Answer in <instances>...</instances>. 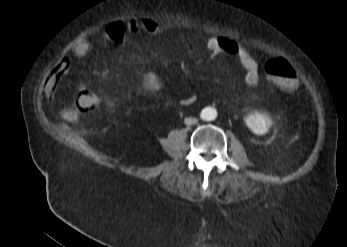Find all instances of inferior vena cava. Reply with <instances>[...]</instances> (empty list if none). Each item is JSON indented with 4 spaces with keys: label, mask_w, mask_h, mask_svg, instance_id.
Segmentation results:
<instances>
[{
    "label": "inferior vena cava",
    "mask_w": 347,
    "mask_h": 247,
    "mask_svg": "<svg viewBox=\"0 0 347 247\" xmlns=\"http://www.w3.org/2000/svg\"><path fill=\"white\" fill-rule=\"evenodd\" d=\"M184 122L186 125H192L197 123V119L194 117H189V118H185Z\"/></svg>",
    "instance_id": "inferior-vena-cava-1"
}]
</instances>
